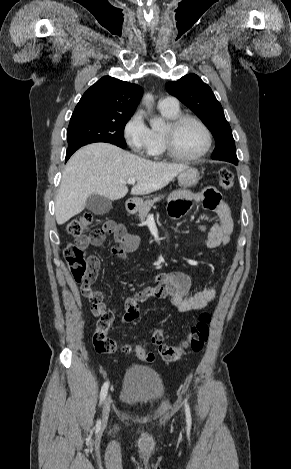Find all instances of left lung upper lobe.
Listing matches in <instances>:
<instances>
[{
    "instance_id": "1",
    "label": "left lung upper lobe",
    "mask_w": 291,
    "mask_h": 469,
    "mask_svg": "<svg viewBox=\"0 0 291 469\" xmlns=\"http://www.w3.org/2000/svg\"><path fill=\"white\" fill-rule=\"evenodd\" d=\"M166 90L194 111L211 131L216 141L212 159L228 158L238 161L231 127L225 118L222 106L211 88L199 76L188 74L176 82H168Z\"/></svg>"
}]
</instances>
